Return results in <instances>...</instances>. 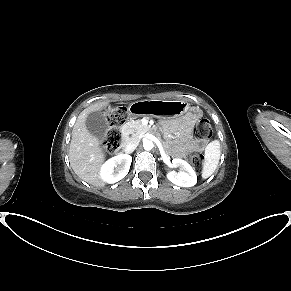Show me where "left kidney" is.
Segmentation results:
<instances>
[{
  "label": "left kidney",
  "mask_w": 291,
  "mask_h": 291,
  "mask_svg": "<svg viewBox=\"0 0 291 291\" xmlns=\"http://www.w3.org/2000/svg\"><path fill=\"white\" fill-rule=\"evenodd\" d=\"M172 167H179L180 171H169L167 178L173 184L181 187H192L197 183V175L191 165L179 158L172 160Z\"/></svg>",
  "instance_id": "5707ae66"
}]
</instances>
